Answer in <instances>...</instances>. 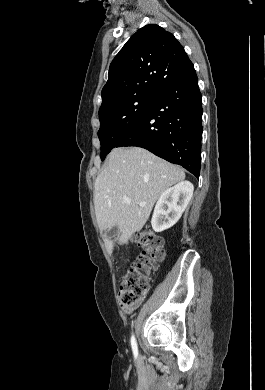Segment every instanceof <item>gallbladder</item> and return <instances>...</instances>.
<instances>
[{
	"label": "gallbladder",
	"mask_w": 265,
	"mask_h": 390,
	"mask_svg": "<svg viewBox=\"0 0 265 390\" xmlns=\"http://www.w3.org/2000/svg\"><path fill=\"white\" fill-rule=\"evenodd\" d=\"M117 232H118V227L114 226V227L110 228L109 230H107L106 235L108 237H113L117 234Z\"/></svg>",
	"instance_id": "bac80fb5"
}]
</instances>
